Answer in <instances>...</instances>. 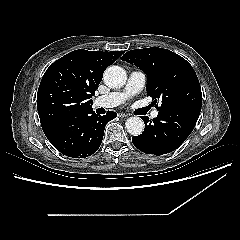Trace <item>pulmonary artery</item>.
<instances>
[{
	"mask_svg": "<svg viewBox=\"0 0 240 240\" xmlns=\"http://www.w3.org/2000/svg\"><path fill=\"white\" fill-rule=\"evenodd\" d=\"M146 83V75L144 72L134 70L129 74L125 87L120 91L111 92L96 98L94 104L98 107L110 108L119 106L129 98L137 95L142 91ZM158 111L151 113L152 118H156Z\"/></svg>",
	"mask_w": 240,
	"mask_h": 240,
	"instance_id": "obj_1",
	"label": "pulmonary artery"
}]
</instances>
